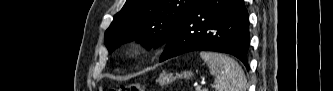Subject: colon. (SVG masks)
Segmentation results:
<instances>
[{
	"instance_id": "obj_1",
	"label": "colon",
	"mask_w": 333,
	"mask_h": 91,
	"mask_svg": "<svg viewBox=\"0 0 333 91\" xmlns=\"http://www.w3.org/2000/svg\"><path fill=\"white\" fill-rule=\"evenodd\" d=\"M113 91H142V87L138 84L120 85L118 88H113Z\"/></svg>"
}]
</instances>
